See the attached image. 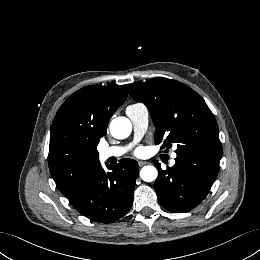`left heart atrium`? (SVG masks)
Masks as SVG:
<instances>
[{
    "label": "left heart atrium",
    "instance_id": "left-heart-atrium-1",
    "mask_svg": "<svg viewBox=\"0 0 260 260\" xmlns=\"http://www.w3.org/2000/svg\"><path fill=\"white\" fill-rule=\"evenodd\" d=\"M141 152V149H137L136 153H140Z\"/></svg>",
    "mask_w": 260,
    "mask_h": 260
}]
</instances>
